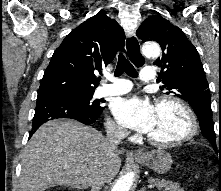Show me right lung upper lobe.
<instances>
[{
  "mask_svg": "<svg viewBox=\"0 0 221 191\" xmlns=\"http://www.w3.org/2000/svg\"><path fill=\"white\" fill-rule=\"evenodd\" d=\"M121 26L104 13L87 19L72 30L54 52L38 94L95 91L94 71L101 72L124 49Z\"/></svg>",
  "mask_w": 221,
  "mask_h": 191,
  "instance_id": "right-lung-upper-lobe-1",
  "label": "right lung upper lobe"
}]
</instances>
